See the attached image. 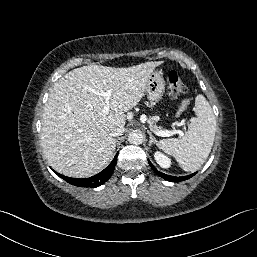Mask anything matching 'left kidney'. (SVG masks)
I'll use <instances>...</instances> for the list:
<instances>
[{
  "label": "left kidney",
  "mask_w": 257,
  "mask_h": 257,
  "mask_svg": "<svg viewBox=\"0 0 257 257\" xmlns=\"http://www.w3.org/2000/svg\"><path fill=\"white\" fill-rule=\"evenodd\" d=\"M154 158L157 162V164H159L160 167L162 168H169L171 165V160L164 155L163 153H161L160 151H156L154 153Z\"/></svg>",
  "instance_id": "1"
}]
</instances>
